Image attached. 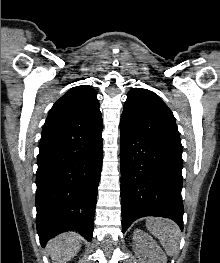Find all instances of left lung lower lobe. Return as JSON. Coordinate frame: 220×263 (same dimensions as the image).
<instances>
[{
    "instance_id": "left-lung-lower-lobe-1",
    "label": "left lung lower lobe",
    "mask_w": 220,
    "mask_h": 263,
    "mask_svg": "<svg viewBox=\"0 0 220 263\" xmlns=\"http://www.w3.org/2000/svg\"><path fill=\"white\" fill-rule=\"evenodd\" d=\"M123 233L138 218L159 216L183 229L182 152L120 125Z\"/></svg>"
}]
</instances>
